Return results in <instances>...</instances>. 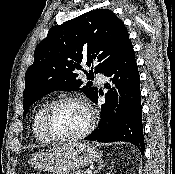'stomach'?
I'll use <instances>...</instances> for the list:
<instances>
[{
	"label": "stomach",
	"instance_id": "stomach-1",
	"mask_svg": "<svg viewBox=\"0 0 175 174\" xmlns=\"http://www.w3.org/2000/svg\"><path fill=\"white\" fill-rule=\"evenodd\" d=\"M101 155V152L89 143H76L38 152L31 157L30 162L37 169L68 174L70 171L93 164Z\"/></svg>",
	"mask_w": 175,
	"mask_h": 174
}]
</instances>
